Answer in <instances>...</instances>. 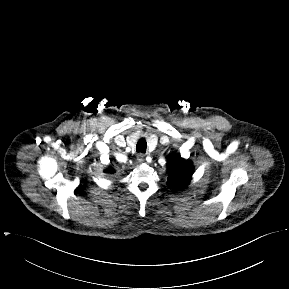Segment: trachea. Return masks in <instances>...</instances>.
<instances>
[{
  "instance_id": "3493384b",
  "label": "trachea",
  "mask_w": 289,
  "mask_h": 289,
  "mask_svg": "<svg viewBox=\"0 0 289 289\" xmlns=\"http://www.w3.org/2000/svg\"><path fill=\"white\" fill-rule=\"evenodd\" d=\"M147 149V143L145 139H140L137 142V146H136V151L137 152H141V153H145Z\"/></svg>"
}]
</instances>
